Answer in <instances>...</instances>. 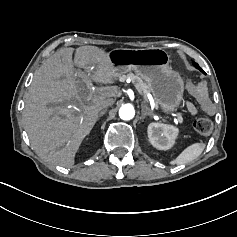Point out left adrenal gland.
<instances>
[{
  "instance_id": "obj_1",
  "label": "left adrenal gland",
  "mask_w": 237,
  "mask_h": 237,
  "mask_svg": "<svg viewBox=\"0 0 237 237\" xmlns=\"http://www.w3.org/2000/svg\"><path fill=\"white\" fill-rule=\"evenodd\" d=\"M147 116H150V117H151V114H150L149 109H148V107L146 106L145 102L143 101V102H142V113H141V116H140L141 123H143V120H144Z\"/></svg>"
}]
</instances>
